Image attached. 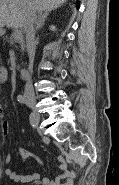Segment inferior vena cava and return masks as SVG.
Returning <instances> with one entry per match:
<instances>
[{
	"label": "inferior vena cava",
	"instance_id": "602c4592",
	"mask_svg": "<svg viewBox=\"0 0 119 185\" xmlns=\"http://www.w3.org/2000/svg\"><path fill=\"white\" fill-rule=\"evenodd\" d=\"M36 20V14L35 11L32 9V7L27 4L25 8V15H24V32L26 35V44H27V52L29 56V72H32L33 69V61L35 56V28H34V22ZM24 96L28 98L34 99V90L32 86V82L30 78L27 80L25 84V90H24Z\"/></svg>",
	"mask_w": 119,
	"mask_h": 185
}]
</instances>
